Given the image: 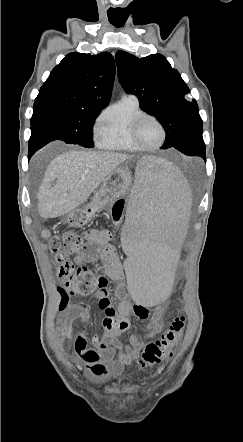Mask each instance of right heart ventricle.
Here are the masks:
<instances>
[{
	"label": "right heart ventricle",
	"mask_w": 243,
	"mask_h": 442,
	"mask_svg": "<svg viewBox=\"0 0 243 442\" xmlns=\"http://www.w3.org/2000/svg\"><path fill=\"white\" fill-rule=\"evenodd\" d=\"M145 113L134 96L121 98L103 115L95 130L97 144L107 150L140 152L131 139V125L136 117Z\"/></svg>",
	"instance_id": "1"
}]
</instances>
